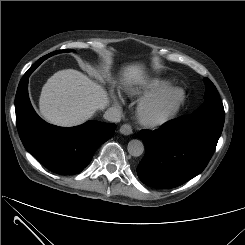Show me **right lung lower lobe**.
Returning <instances> with one entry per match:
<instances>
[{
    "label": "right lung lower lobe",
    "instance_id": "right-lung-lower-lobe-1",
    "mask_svg": "<svg viewBox=\"0 0 245 245\" xmlns=\"http://www.w3.org/2000/svg\"><path fill=\"white\" fill-rule=\"evenodd\" d=\"M29 69L21 79L15 97L16 124L20 139L44 167L60 175L81 172L94 152L115 131V124L88 121L63 128L43 121L33 110L28 96Z\"/></svg>",
    "mask_w": 245,
    "mask_h": 245
}]
</instances>
